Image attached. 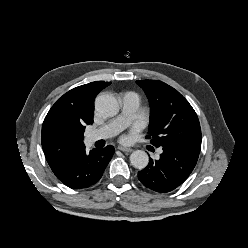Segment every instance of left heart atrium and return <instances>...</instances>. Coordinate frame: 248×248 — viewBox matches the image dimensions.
Wrapping results in <instances>:
<instances>
[{
    "mask_svg": "<svg viewBox=\"0 0 248 248\" xmlns=\"http://www.w3.org/2000/svg\"><path fill=\"white\" fill-rule=\"evenodd\" d=\"M122 140H123V141H127V140H128V137H127V136H124V137L122 138Z\"/></svg>",
    "mask_w": 248,
    "mask_h": 248,
    "instance_id": "39dd6f15",
    "label": "left heart atrium"
}]
</instances>
